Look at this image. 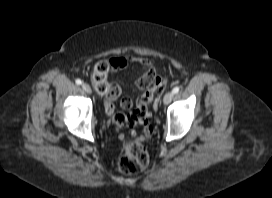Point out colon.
Segmentation results:
<instances>
[{
	"label": "colon",
	"instance_id": "colon-1",
	"mask_svg": "<svg viewBox=\"0 0 272 198\" xmlns=\"http://www.w3.org/2000/svg\"><path fill=\"white\" fill-rule=\"evenodd\" d=\"M113 70L111 63L99 62L95 65L92 73V83L95 89L103 95L111 92L113 84L108 81L109 74ZM138 86L144 89L153 88L156 93L165 86V82L160 78H146L138 82ZM153 98L148 95L138 100L136 107L128 114L118 113L113 117V124L120 128L124 126L134 127L138 124L143 126V136L137 139H127L122 137L123 156L118 162L119 172L127 175L142 171L149 162L148 153L141 143L149 138L154 130L153 124L149 121L150 106Z\"/></svg>",
	"mask_w": 272,
	"mask_h": 198
}]
</instances>
